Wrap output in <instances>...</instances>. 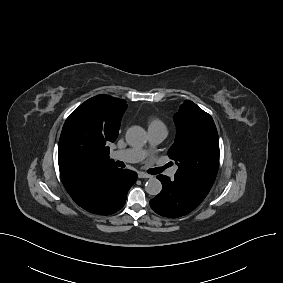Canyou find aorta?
I'll list each match as a JSON object with an SVG mask.
<instances>
[{
  "instance_id": "aorta-1",
  "label": "aorta",
  "mask_w": 283,
  "mask_h": 283,
  "mask_svg": "<svg viewBox=\"0 0 283 283\" xmlns=\"http://www.w3.org/2000/svg\"><path fill=\"white\" fill-rule=\"evenodd\" d=\"M126 141L130 146L141 147L147 142L146 131L140 126H132L126 132ZM145 190L149 195H158L162 184L157 178H150L145 184Z\"/></svg>"
}]
</instances>
